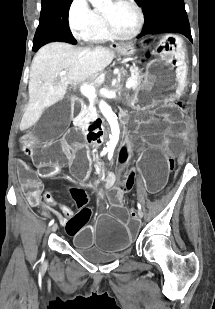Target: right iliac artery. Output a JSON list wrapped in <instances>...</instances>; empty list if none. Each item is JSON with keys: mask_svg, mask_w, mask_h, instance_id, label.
I'll return each mask as SVG.
<instances>
[{"mask_svg": "<svg viewBox=\"0 0 215 309\" xmlns=\"http://www.w3.org/2000/svg\"><path fill=\"white\" fill-rule=\"evenodd\" d=\"M107 153V151L105 149H103L101 156L105 155ZM54 223V220H51L49 223V226H51Z\"/></svg>", "mask_w": 215, "mask_h": 309, "instance_id": "right-iliac-artery-1", "label": "right iliac artery"}]
</instances>
